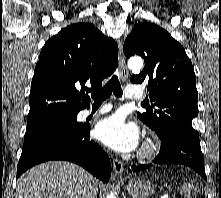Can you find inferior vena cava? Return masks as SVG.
Here are the masks:
<instances>
[{
  "instance_id": "obj_1",
  "label": "inferior vena cava",
  "mask_w": 221,
  "mask_h": 198,
  "mask_svg": "<svg viewBox=\"0 0 221 198\" xmlns=\"http://www.w3.org/2000/svg\"><path fill=\"white\" fill-rule=\"evenodd\" d=\"M97 196V186L96 183L90 182L87 190V198H96Z\"/></svg>"
}]
</instances>
